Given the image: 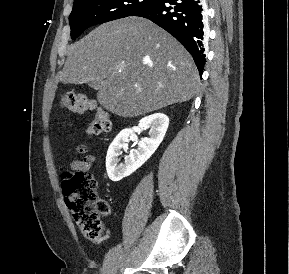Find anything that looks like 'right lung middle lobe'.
<instances>
[{
	"mask_svg": "<svg viewBox=\"0 0 289 274\" xmlns=\"http://www.w3.org/2000/svg\"><path fill=\"white\" fill-rule=\"evenodd\" d=\"M155 0H75L69 17L71 37L76 39L85 29L108 21L135 16Z\"/></svg>",
	"mask_w": 289,
	"mask_h": 274,
	"instance_id": "dd1d6c3e",
	"label": "right lung middle lobe"
}]
</instances>
